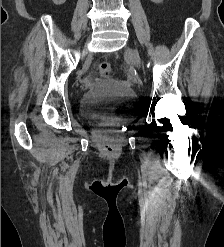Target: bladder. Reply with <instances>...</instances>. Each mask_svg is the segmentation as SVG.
Masks as SVG:
<instances>
[{"label": "bladder", "mask_w": 224, "mask_h": 247, "mask_svg": "<svg viewBox=\"0 0 224 247\" xmlns=\"http://www.w3.org/2000/svg\"><path fill=\"white\" fill-rule=\"evenodd\" d=\"M136 104V93L125 84L102 80L83 94L79 114L89 123L120 126L133 118Z\"/></svg>", "instance_id": "1"}]
</instances>
